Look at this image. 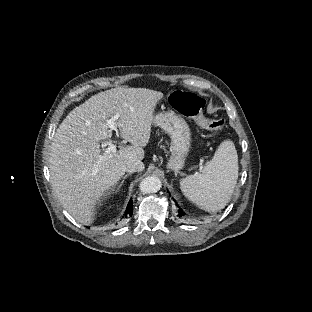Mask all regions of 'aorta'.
Wrapping results in <instances>:
<instances>
[{"mask_svg": "<svg viewBox=\"0 0 312 312\" xmlns=\"http://www.w3.org/2000/svg\"><path fill=\"white\" fill-rule=\"evenodd\" d=\"M161 186L162 183L156 176H148L144 178L139 185L141 192L145 194L156 193L160 190Z\"/></svg>", "mask_w": 312, "mask_h": 312, "instance_id": "obj_1", "label": "aorta"}]
</instances>
